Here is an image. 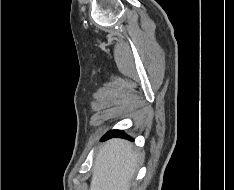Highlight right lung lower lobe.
I'll return each mask as SVG.
<instances>
[{"instance_id": "98d812e1", "label": "right lung lower lobe", "mask_w": 234, "mask_h": 190, "mask_svg": "<svg viewBox=\"0 0 234 190\" xmlns=\"http://www.w3.org/2000/svg\"><path fill=\"white\" fill-rule=\"evenodd\" d=\"M112 137H121V138H128L131 139L129 136H127L123 130H112L109 131L103 138L102 140H106Z\"/></svg>"}]
</instances>
